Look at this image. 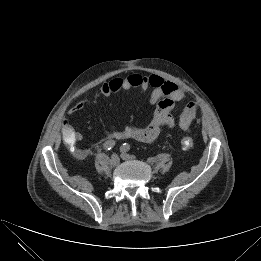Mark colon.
Listing matches in <instances>:
<instances>
[{
  "instance_id": "obj_1",
  "label": "colon",
  "mask_w": 261,
  "mask_h": 261,
  "mask_svg": "<svg viewBox=\"0 0 261 261\" xmlns=\"http://www.w3.org/2000/svg\"><path fill=\"white\" fill-rule=\"evenodd\" d=\"M66 136H67L68 139H71L72 138V132L67 131ZM181 145L184 149H189L193 146V139L188 135H184L181 138Z\"/></svg>"
}]
</instances>
